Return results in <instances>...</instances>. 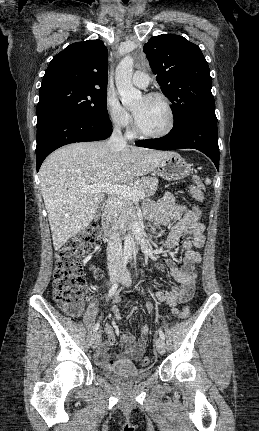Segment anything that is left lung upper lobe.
<instances>
[{"label":"left lung upper lobe","instance_id":"left-lung-upper-lobe-1","mask_svg":"<svg viewBox=\"0 0 259 431\" xmlns=\"http://www.w3.org/2000/svg\"><path fill=\"white\" fill-rule=\"evenodd\" d=\"M143 51L173 104L174 123L192 116L217 120L209 66L197 45L179 35L162 34L152 37Z\"/></svg>","mask_w":259,"mask_h":431}]
</instances>
